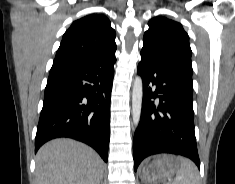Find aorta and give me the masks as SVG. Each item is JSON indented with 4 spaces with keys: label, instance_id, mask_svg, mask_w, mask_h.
I'll list each match as a JSON object with an SVG mask.
<instances>
[{
    "label": "aorta",
    "instance_id": "762f6f07",
    "mask_svg": "<svg viewBox=\"0 0 235 184\" xmlns=\"http://www.w3.org/2000/svg\"><path fill=\"white\" fill-rule=\"evenodd\" d=\"M143 98V82L139 76L135 78L132 90V118L136 128L140 122Z\"/></svg>",
    "mask_w": 235,
    "mask_h": 184
}]
</instances>
